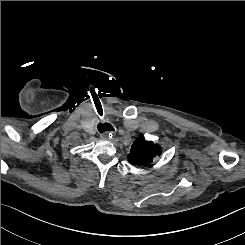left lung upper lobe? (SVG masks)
I'll use <instances>...</instances> for the list:
<instances>
[{"label":"left lung upper lobe","mask_w":245,"mask_h":245,"mask_svg":"<svg viewBox=\"0 0 245 245\" xmlns=\"http://www.w3.org/2000/svg\"><path fill=\"white\" fill-rule=\"evenodd\" d=\"M161 152L162 150L159 145H155L152 141H146L144 138H138L134 141L127 159L133 165L146 166L156 156H159Z\"/></svg>","instance_id":"1"}]
</instances>
